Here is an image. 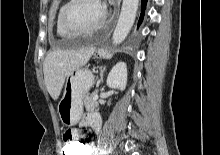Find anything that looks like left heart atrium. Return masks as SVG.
Instances as JSON below:
<instances>
[{
	"label": "left heart atrium",
	"mask_w": 220,
	"mask_h": 155,
	"mask_svg": "<svg viewBox=\"0 0 220 155\" xmlns=\"http://www.w3.org/2000/svg\"><path fill=\"white\" fill-rule=\"evenodd\" d=\"M100 4H101V3H100ZM101 7H102V9H103V11H104V13H105V7H104V5L101 4Z\"/></svg>",
	"instance_id": "39dd6f15"
}]
</instances>
